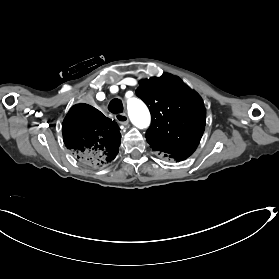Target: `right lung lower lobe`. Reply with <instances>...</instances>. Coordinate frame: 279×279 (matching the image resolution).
Segmentation results:
<instances>
[{
    "mask_svg": "<svg viewBox=\"0 0 279 279\" xmlns=\"http://www.w3.org/2000/svg\"><path fill=\"white\" fill-rule=\"evenodd\" d=\"M62 134L71 154L92 168L111 162L121 142L116 122L87 104H77L69 110L62 124Z\"/></svg>",
    "mask_w": 279,
    "mask_h": 279,
    "instance_id": "right-lung-lower-lobe-1",
    "label": "right lung lower lobe"
}]
</instances>
